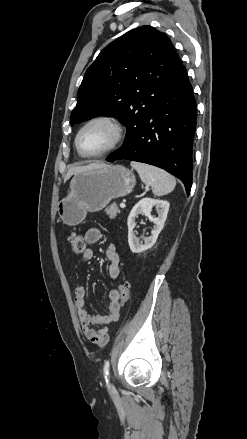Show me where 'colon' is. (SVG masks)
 Returning <instances> with one entry per match:
<instances>
[{
	"mask_svg": "<svg viewBox=\"0 0 247 439\" xmlns=\"http://www.w3.org/2000/svg\"><path fill=\"white\" fill-rule=\"evenodd\" d=\"M72 250L75 254H82L86 249V243L82 235L73 234L71 237ZM120 304L127 303L130 294V283L124 281L119 285Z\"/></svg>",
	"mask_w": 247,
	"mask_h": 439,
	"instance_id": "1",
	"label": "colon"
}]
</instances>
